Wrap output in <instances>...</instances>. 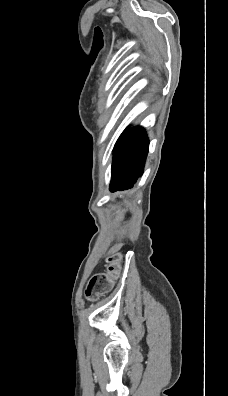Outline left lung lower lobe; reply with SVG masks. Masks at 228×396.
<instances>
[{"mask_svg":"<svg viewBox=\"0 0 228 396\" xmlns=\"http://www.w3.org/2000/svg\"><path fill=\"white\" fill-rule=\"evenodd\" d=\"M115 146L110 183L112 192L132 188L142 175L149 142L145 131L136 127L125 129Z\"/></svg>","mask_w":228,"mask_h":396,"instance_id":"1","label":"left lung lower lobe"}]
</instances>
